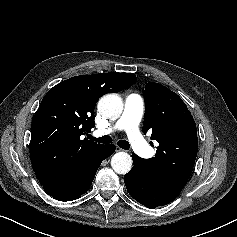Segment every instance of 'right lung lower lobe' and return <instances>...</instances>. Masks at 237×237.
<instances>
[{"label":"right lung lower lobe","mask_w":237,"mask_h":237,"mask_svg":"<svg viewBox=\"0 0 237 237\" xmlns=\"http://www.w3.org/2000/svg\"><path fill=\"white\" fill-rule=\"evenodd\" d=\"M115 145H101L77 159L63 182L44 184L46 193L59 201L78 199L91 186L101 162L112 155Z\"/></svg>","instance_id":"1"}]
</instances>
